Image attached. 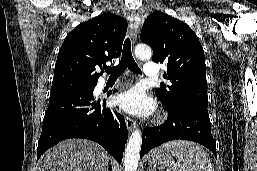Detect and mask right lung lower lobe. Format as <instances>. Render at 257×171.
<instances>
[{
    "instance_id": "98d812e1",
    "label": "right lung lower lobe",
    "mask_w": 257,
    "mask_h": 171,
    "mask_svg": "<svg viewBox=\"0 0 257 171\" xmlns=\"http://www.w3.org/2000/svg\"><path fill=\"white\" fill-rule=\"evenodd\" d=\"M94 87L51 91L38 142L37 160L62 140L85 138L99 143L121 163L128 138L124 117L106 108L105 100L94 99Z\"/></svg>"
}]
</instances>
